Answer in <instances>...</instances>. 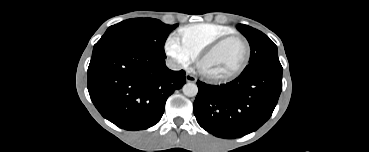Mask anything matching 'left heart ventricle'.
Returning <instances> with one entry per match:
<instances>
[{"label": "left heart ventricle", "mask_w": 369, "mask_h": 152, "mask_svg": "<svg viewBox=\"0 0 369 152\" xmlns=\"http://www.w3.org/2000/svg\"><path fill=\"white\" fill-rule=\"evenodd\" d=\"M245 47L241 40L233 39L226 42L215 53L210 55L202 64L205 72L224 76L234 72L242 63Z\"/></svg>", "instance_id": "1"}]
</instances>
